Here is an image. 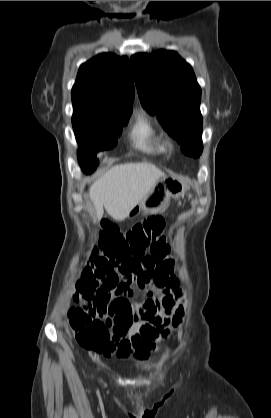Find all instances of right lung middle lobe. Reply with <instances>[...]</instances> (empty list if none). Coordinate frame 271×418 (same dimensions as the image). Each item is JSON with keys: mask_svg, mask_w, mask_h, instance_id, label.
<instances>
[{"mask_svg": "<svg viewBox=\"0 0 271 418\" xmlns=\"http://www.w3.org/2000/svg\"><path fill=\"white\" fill-rule=\"evenodd\" d=\"M130 114H106L85 108L73 107L72 124L76 140L81 147L79 163L86 173L95 170L96 153L111 149L117 144L122 127L128 123Z\"/></svg>", "mask_w": 271, "mask_h": 418, "instance_id": "dd1d6c3e", "label": "right lung middle lobe"}]
</instances>
